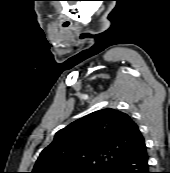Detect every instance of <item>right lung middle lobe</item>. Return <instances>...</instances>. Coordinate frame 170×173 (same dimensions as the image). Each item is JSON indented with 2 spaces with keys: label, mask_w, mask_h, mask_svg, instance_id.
Returning <instances> with one entry per match:
<instances>
[{
  "label": "right lung middle lobe",
  "mask_w": 170,
  "mask_h": 173,
  "mask_svg": "<svg viewBox=\"0 0 170 173\" xmlns=\"http://www.w3.org/2000/svg\"><path fill=\"white\" fill-rule=\"evenodd\" d=\"M105 169H89V170H80L73 171L72 173H104Z\"/></svg>",
  "instance_id": "right-lung-middle-lobe-1"
}]
</instances>
